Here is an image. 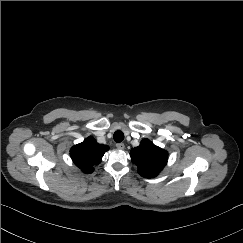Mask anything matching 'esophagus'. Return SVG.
I'll return each instance as SVG.
<instances>
[{
	"label": "esophagus",
	"instance_id": "esophagus-1",
	"mask_svg": "<svg viewBox=\"0 0 243 243\" xmlns=\"http://www.w3.org/2000/svg\"><path fill=\"white\" fill-rule=\"evenodd\" d=\"M116 147H117L118 149H124V148H125V145H124V143H117V144H116Z\"/></svg>",
	"mask_w": 243,
	"mask_h": 243
}]
</instances>
